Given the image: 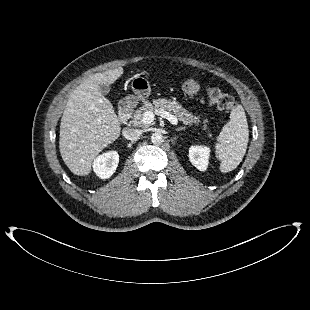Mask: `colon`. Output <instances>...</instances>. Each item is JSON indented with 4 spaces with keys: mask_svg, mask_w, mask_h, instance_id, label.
Returning a JSON list of instances; mask_svg holds the SVG:
<instances>
[{
    "mask_svg": "<svg viewBox=\"0 0 310 310\" xmlns=\"http://www.w3.org/2000/svg\"><path fill=\"white\" fill-rule=\"evenodd\" d=\"M182 91L188 96H194L201 91L200 84L194 79H188L182 84ZM209 102L223 112H229L236 106L233 96L217 88L205 90Z\"/></svg>",
    "mask_w": 310,
    "mask_h": 310,
    "instance_id": "5ec220e1",
    "label": "colon"
}]
</instances>
